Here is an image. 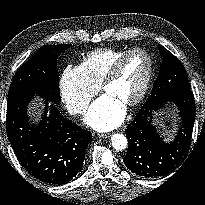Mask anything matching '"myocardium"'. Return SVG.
I'll list each match as a JSON object with an SVG mask.
<instances>
[{
    "label": "myocardium",
    "instance_id": "obj_1",
    "mask_svg": "<svg viewBox=\"0 0 205 205\" xmlns=\"http://www.w3.org/2000/svg\"><path fill=\"white\" fill-rule=\"evenodd\" d=\"M136 53H142L144 54L149 61V68H148V72L146 75V78L144 80V83L139 91V93L130 101H128L125 105L127 107H132L135 106L137 104H139L144 97L146 96L150 84L152 82V78L154 75V69H155V64H154V58L153 56L145 49L142 48H134V49H130L127 52H125L110 68L109 72L107 73V75L104 77V79L101 81L100 83V89L102 91H104L106 89V87L113 82L120 74L121 72V68L124 64V62L131 57L132 55L136 54Z\"/></svg>",
    "mask_w": 205,
    "mask_h": 205
}]
</instances>
